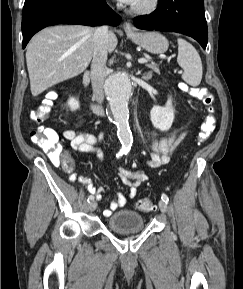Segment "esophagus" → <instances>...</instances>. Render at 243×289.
<instances>
[{
	"label": "esophagus",
	"mask_w": 243,
	"mask_h": 289,
	"mask_svg": "<svg viewBox=\"0 0 243 289\" xmlns=\"http://www.w3.org/2000/svg\"><path fill=\"white\" fill-rule=\"evenodd\" d=\"M123 28L126 33H132L135 31L134 27L132 26L130 22H125L123 25Z\"/></svg>",
	"instance_id": "obj_1"
}]
</instances>
